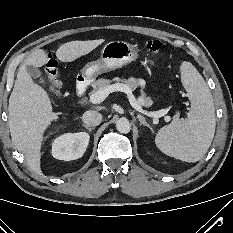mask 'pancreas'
Masks as SVG:
<instances>
[{
  "label": "pancreas",
  "mask_w": 233,
  "mask_h": 233,
  "mask_svg": "<svg viewBox=\"0 0 233 233\" xmlns=\"http://www.w3.org/2000/svg\"><path fill=\"white\" fill-rule=\"evenodd\" d=\"M112 82H115V84H124L129 87L131 91H134L138 86H141V96H140V105L144 107H150L153 103L152 99L148 96L143 91L144 88V81L142 79H136L134 77H130L128 79H121L119 77H115L113 79H107V78H100L92 83L93 90L91 94H94L100 89H104Z\"/></svg>",
  "instance_id": "obj_1"
}]
</instances>
